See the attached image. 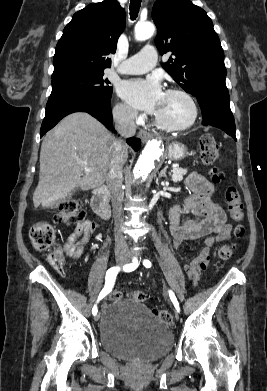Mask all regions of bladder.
<instances>
[{"instance_id": "31cf9c89", "label": "bladder", "mask_w": 267, "mask_h": 391, "mask_svg": "<svg viewBox=\"0 0 267 391\" xmlns=\"http://www.w3.org/2000/svg\"><path fill=\"white\" fill-rule=\"evenodd\" d=\"M102 348L127 360L153 361L173 346L170 328L141 302L118 299L104 310L99 323Z\"/></svg>"}]
</instances>
